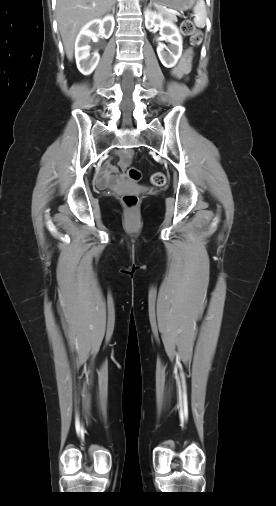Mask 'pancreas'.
Returning a JSON list of instances; mask_svg holds the SVG:
<instances>
[{"mask_svg":"<svg viewBox=\"0 0 276 506\" xmlns=\"http://www.w3.org/2000/svg\"><path fill=\"white\" fill-rule=\"evenodd\" d=\"M158 10H159V12H160L162 15H164V16H166V17H168L171 21H174V22H176V21H177V17H176V15H175V14L168 13V12H167L166 10H164L163 8H158Z\"/></svg>","mask_w":276,"mask_h":506,"instance_id":"obj_1","label":"pancreas"}]
</instances>
